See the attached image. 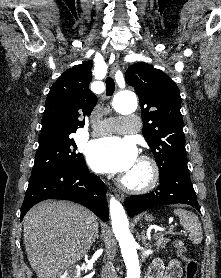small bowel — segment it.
<instances>
[{
	"label": "small bowel",
	"mask_w": 221,
	"mask_h": 278,
	"mask_svg": "<svg viewBox=\"0 0 221 278\" xmlns=\"http://www.w3.org/2000/svg\"><path fill=\"white\" fill-rule=\"evenodd\" d=\"M182 267L177 259L171 260L166 266L161 260H155L146 278H181Z\"/></svg>",
	"instance_id": "1"
}]
</instances>
